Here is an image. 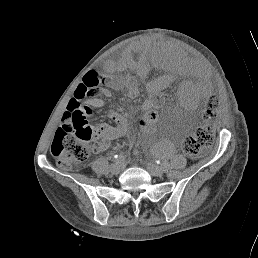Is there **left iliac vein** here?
<instances>
[{
  "label": "left iliac vein",
  "instance_id": "obj_1",
  "mask_svg": "<svg viewBox=\"0 0 258 258\" xmlns=\"http://www.w3.org/2000/svg\"><path fill=\"white\" fill-rule=\"evenodd\" d=\"M146 169L152 176H161L163 174V169L160 166L151 162L146 163Z\"/></svg>",
  "mask_w": 258,
  "mask_h": 258
}]
</instances>
